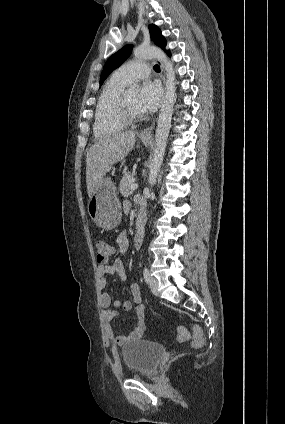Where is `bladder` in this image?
<instances>
[{
  "label": "bladder",
  "instance_id": "obj_1",
  "mask_svg": "<svg viewBox=\"0 0 285 424\" xmlns=\"http://www.w3.org/2000/svg\"><path fill=\"white\" fill-rule=\"evenodd\" d=\"M127 372L133 375L149 374L156 370L164 348L149 340H132L119 350Z\"/></svg>",
  "mask_w": 285,
  "mask_h": 424
}]
</instances>
